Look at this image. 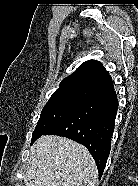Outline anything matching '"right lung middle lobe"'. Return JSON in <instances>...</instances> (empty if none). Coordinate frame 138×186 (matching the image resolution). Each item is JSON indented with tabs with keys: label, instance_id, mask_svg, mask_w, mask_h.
<instances>
[{
	"label": "right lung middle lobe",
	"instance_id": "obj_1",
	"mask_svg": "<svg viewBox=\"0 0 138 186\" xmlns=\"http://www.w3.org/2000/svg\"><path fill=\"white\" fill-rule=\"evenodd\" d=\"M92 92L90 89L81 87H68L55 91L41 112L40 119L32 134L31 144L57 122L85 104Z\"/></svg>",
	"mask_w": 138,
	"mask_h": 186
}]
</instances>
